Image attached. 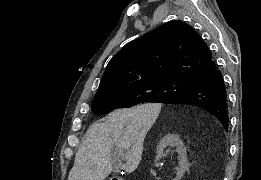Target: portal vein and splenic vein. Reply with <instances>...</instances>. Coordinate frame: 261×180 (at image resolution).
<instances>
[{
	"label": "portal vein and splenic vein",
	"instance_id": "portal-vein-and-splenic-vein-1",
	"mask_svg": "<svg viewBox=\"0 0 261 180\" xmlns=\"http://www.w3.org/2000/svg\"><path fill=\"white\" fill-rule=\"evenodd\" d=\"M124 154L126 156V148H123V154H121V156H124Z\"/></svg>",
	"mask_w": 261,
	"mask_h": 180
}]
</instances>
